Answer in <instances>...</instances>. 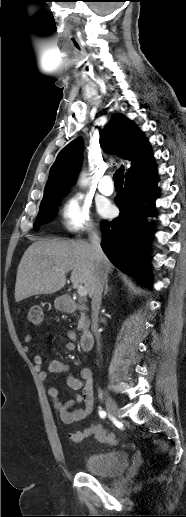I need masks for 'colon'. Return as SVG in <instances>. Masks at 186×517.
<instances>
[{
	"instance_id": "obj_1",
	"label": "colon",
	"mask_w": 186,
	"mask_h": 517,
	"mask_svg": "<svg viewBox=\"0 0 186 517\" xmlns=\"http://www.w3.org/2000/svg\"><path fill=\"white\" fill-rule=\"evenodd\" d=\"M28 318H29V321L33 325L42 324L44 315H43V310H42L41 306H39V305L31 306L29 309ZM99 440L107 442L109 444L116 443V438L112 434L107 433L106 431H101L99 433Z\"/></svg>"
}]
</instances>
